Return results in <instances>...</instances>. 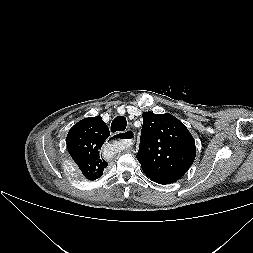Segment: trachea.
Returning <instances> with one entry per match:
<instances>
[{
  "label": "trachea",
  "instance_id": "3493384b",
  "mask_svg": "<svg viewBox=\"0 0 253 253\" xmlns=\"http://www.w3.org/2000/svg\"><path fill=\"white\" fill-rule=\"evenodd\" d=\"M127 126V121L124 116H117L111 124V131L116 132V131H124ZM117 138H121V134L116 136Z\"/></svg>",
  "mask_w": 253,
  "mask_h": 253
}]
</instances>
